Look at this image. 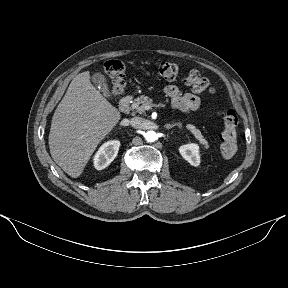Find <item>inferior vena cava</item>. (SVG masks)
<instances>
[{
    "instance_id": "602c4592",
    "label": "inferior vena cava",
    "mask_w": 288,
    "mask_h": 288,
    "mask_svg": "<svg viewBox=\"0 0 288 288\" xmlns=\"http://www.w3.org/2000/svg\"><path fill=\"white\" fill-rule=\"evenodd\" d=\"M130 124L137 129H150V130H156L158 128V123L156 121H148L144 120L141 117H134L131 119Z\"/></svg>"
}]
</instances>
